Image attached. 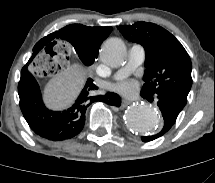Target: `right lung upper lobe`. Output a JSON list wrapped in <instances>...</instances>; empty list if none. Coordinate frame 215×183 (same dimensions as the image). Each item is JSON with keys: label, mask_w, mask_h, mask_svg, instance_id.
Instances as JSON below:
<instances>
[{"label": "right lung upper lobe", "mask_w": 215, "mask_h": 183, "mask_svg": "<svg viewBox=\"0 0 215 183\" xmlns=\"http://www.w3.org/2000/svg\"><path fill=\"white\" fill-rule=\"evenodd\" d=\"M76 27H79L81 31L80 38L85 50L92 56L97 57L98 49L103 40L111 33L112 27H86L80 24L68 25L41 39L33 48V54L36 55L42 48L48 49L52 47L58 38L67 40L70 32L75 31Z\"/></svg>", "instance_id": "obj_1"}]
</instances>
